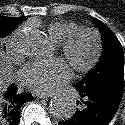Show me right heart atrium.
<instances>
[{
    "label": "right heart atrium",
    "instance_id": "d8ad5b80",
    "mask_svg": "<svg viewBox=\"0 0 125 125\" xmlns=\"http://www.w3.org/2000/svg\"><path fill=\"white\" fill-rule=\"evenodd\" d=\"M26 30L24 28H18L15 30L8 40V48L12 55L19 56L22 52L21 44L24 40Z\"/></svg>",
    "mask_w": 125,
    "mask_h": 125
}]
</instances>
